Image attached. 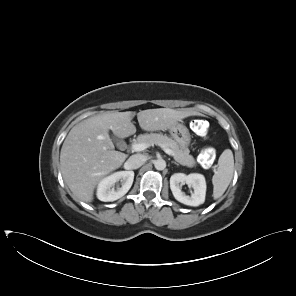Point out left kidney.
I'll use <instances>...</instances> for the list:
<instances>
[{"label":"left kidney","instance_id":"left-kidney-1","mask_svg":"<svg viewBox=\"0 0 296 296\" xmlns=\"http://www.w3.org/2000/svg\"><path fill=\"white\" fill-rule=\"evenodd\" d=\"M185 183L188 187L194 189L191 196L186 195L181 190V186ZM170 189L175 199L185 205L199 206L205 201L206 181L202 174L191 173L186 175L184 173H175L170 178Z\"/></svg>","mask_w":296,"mask_h":296}]
</instances>
